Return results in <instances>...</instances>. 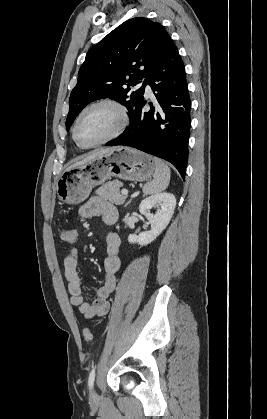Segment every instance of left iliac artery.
Instances as JSON below:
<instances>
[{"label": "left iliac artery", "mask_w": 267, "mask_h": 419, "mask_svg": "<svg viewBox=\"0 0 267 419\" xmlns=\"http://www.w3.org/2000/svg\"><path fill=\"white\" fill-rule=\"evenodd\" d=\"M94 380H95V367L92 368V370L89 374L88 385H89L90 389L93 386Z\"/></svg>", "instance_id": "obj_1"}]
</instances>
